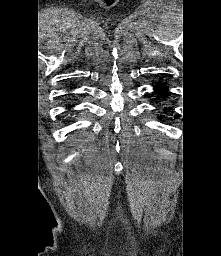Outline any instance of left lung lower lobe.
<instances>
[{"label":"left lung lower lobe","instance_id":"left-lung-lower-lobe-1","mask_svg":"<svg viewBox=\"0 0 221 256\" xmlns=\"http://www.w3.org/2000/svg\"><path fill=\"white\" fill-rule=\"evenodd\" d=\"M154 90H155L156 94L163 96V97H165L168 94L167 88L163 84L157 85L154 88Z\"/></svg>","mask_w":221,"mask_h":256}]
</instances>
